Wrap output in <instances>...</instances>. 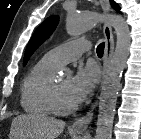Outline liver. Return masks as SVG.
Segmentation results:
<instances>
[{"label": "liver", "mask_w": 141, "mask_h": 139, "mask_svg": "<svg viewBox=\"0 0 141 139\" xmlns=\"http://www.w3.org/2000/svg\"><path fill=\"white\" fill-rule=\"evenodd\" d=\"M65 122L44 114H21L11 124V139H56Z\"/></svg>", "instance_id": "1"}]
</instances>
